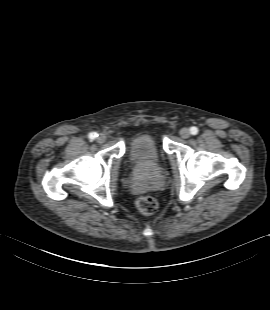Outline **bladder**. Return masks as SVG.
Returning a JSON list of instances; mask_svg holds the SVG:
<instances>
[{"instance_id":"obj_1","label":"bladder","mask_w":270,"mask_h":310,"mask_svg":"<svg viewBox=\"0 0 270 310\" xmlns=\"http://www.w3.org/2000/svg\"><path fill=\"white\" fill-rule=\"evenodd\" d=\"M127 158L135 164L157 165L162 159V149L156 136L148 131L135 134L128 142Z\"/></svg>"}]
</instances>
